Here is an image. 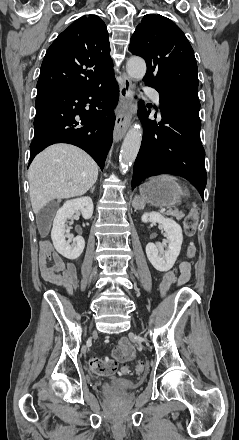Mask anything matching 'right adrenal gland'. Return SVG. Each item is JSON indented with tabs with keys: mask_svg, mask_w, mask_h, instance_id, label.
<instances>
[{
	"mask_svg": "<svg viewBox=\"0 0 239 440\" xmlns=\"http://www.w3.org/2000/svg\"><path fill=\"white\" fill-rule=\"evenodd\" d=\"M94 190H95V186H93V188H90L91 194H93Z\"/></svg>",
	"mask_w": 239,
	"mask_h": 440,
	"instance_id": "1",
	"label": "right adrenal gland"
}]
</instances>
